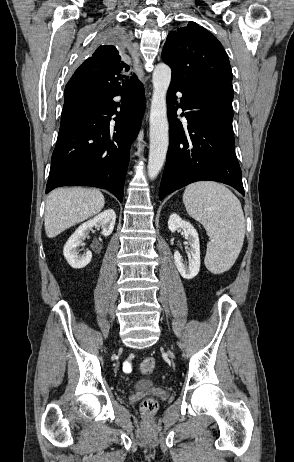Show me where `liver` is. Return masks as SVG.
I'll use <instances>...</instances> for the list:
<instances>
[{"mask_svg": "<svg viewBox=\"0 0 294 462\" xmlns=\"http://www.w3.org/2000/svg\"><path fill=\"white\" fill-rule=\"evenodd\" d=\"M105 204L97 189L58 188L47 198L44 226L46 235L54 238L64 230L99 213Z\"/></svg>", "mask_w": 294, "mask_h": 462, "instance_id": "6515ba94", "label": "liver"}]
</instances>
